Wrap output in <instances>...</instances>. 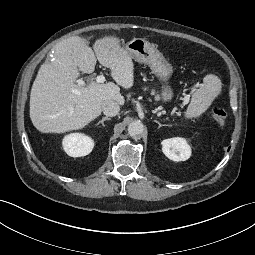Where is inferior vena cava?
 Returning a JSON list of instances; mask_svg holds the SVG:
<instances>
[{"instance_id": "602c4592", "label": "inferior vena cava", "mask_w": 255, "mask_h": 255, "mask_svg": "<svg viewBox=\"0 0 255 255\" xmlns=\"http://www.w3.org/2000/svg\"><path fill=\"white\" fill-rule=\"evenodd\" d=\"M102 111L106 116H116L120 111V106L113 100H106L102 103Z\"/></svg>"}]
</instances>
